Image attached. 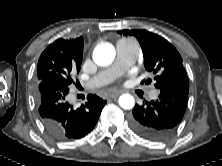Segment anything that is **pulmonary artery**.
Instances as JSON below:
<instances>
[{"label":"pulmonary artery","mask_w":222,"mask_h":166,"mask_svg":"<svg viewBox=\"0 0 222 166\" xmlns=\"http://www.w3.org/2000/svg\"><path fill=\"white\" fill-rule=\"evenodd\" d=\"M138 55V46L132 40H120L117 43V58L115 63L107 70L101 71L96 76L88 80L85 85L90 88H97L109 83L118 76L124 69L132 65ZM150 99L158 96V91L153 88L149 91Z\"/></svg>","instance_id":"obj_1"}]
</instances>
